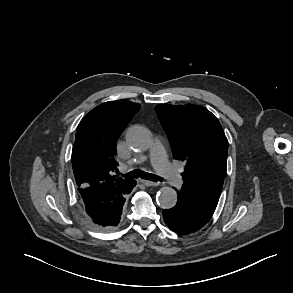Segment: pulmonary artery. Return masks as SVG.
I'll return each instance as SVG.
<instances>
[{"mask_svg":"<svg viewBox=\"0 0 293 293\" xmlns=\"http://www.w3.org/2000/svg\"><path fill=\"white\" fill-rule=\"evenodd\" d=\"M150 156L154 167L163 178L167 179L172 185H181V178L168 162L166 152L161 141L155 140L153 142L150 147ZM121 169L125 170L126 167L123 166Z\"/></svg>","mask_w":293,"mask_h":293,"instance_id":"e3ab8cb5","label":"pulmonary artery"}]
</instances>
